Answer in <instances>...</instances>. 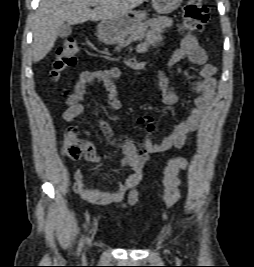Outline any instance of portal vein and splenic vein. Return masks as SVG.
Listing matches in <instances>:
<instances>
[{"mask_svg": "<svg viewBox=\"0 0 254 267\" xmlns=\"http://www.w3.org/2000/svg\"><path fill=\"white\" fill-rule=\"evenodd\" d=\"M92 5H93V6H97L98 4H97V3H93Z\"/></svg>", "mask_w": 254, "mask_h": 267, "instance_id": "portal-vein-and-splenic-vein-1", "label": "portal vein and splenic vein"}]
</instances>
